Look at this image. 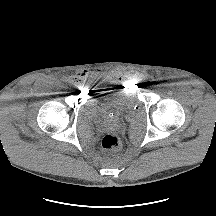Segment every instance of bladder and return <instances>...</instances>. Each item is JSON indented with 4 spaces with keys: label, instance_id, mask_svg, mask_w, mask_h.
<instances>
[{
    "label": "bladder",
    "instance_id": "31cf9c89",
    "mask_svg": "<svg viewBox=\"0 0 216 216\" xmlns=\"http://www.w3.org/2000/svg\"><path fill=\"white\" fill-rule=\"evenodd\" d=\"M94 111L102 112H127L135 106V97L132 93L111 87L105 88L94 94L90 101Z\"/></svg>",
    "mask_w": 216,
    "mask_h": 216
}]
</instances>
